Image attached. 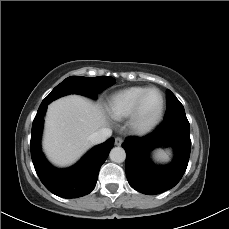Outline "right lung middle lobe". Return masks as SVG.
<instances>
[{"label":"right lung middle lobe","instance_id":"1","mask_svg":"<svg viewBox=\"0 0 229 229\" xmlns=\"http://www.w3.org/2000/svg\"><path fill=\"white\" fill-rule=\"evenodd\" d=\"M115 82L114 78L106 76L94 78L71 76L57 85L43 102L50 103L59 97L73 93L96 98L97 93L112 86Z\"/></svg>","mask_w":229,"mask_h":229}]
</instances>
